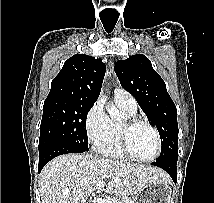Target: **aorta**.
Wrapping results in <instances>:
<instances>
[{
    "label": "aorta",
    "mask_w": 214,
    "mask_h": 203,
    "mask_svg": "<svg viewBox=\"0 0 214 203\" xmlns=\"http://www.w3.org/2000/svg\"><path fill=\"white\" fill-rule=\"evenodd\" d=\"M109 115L111 117L112 120H119L122 118V115L120 113V111L115 107V106H112L109 110Z\"/></svg>",
    "instance_id": "obj_1"
}]
</instances>
